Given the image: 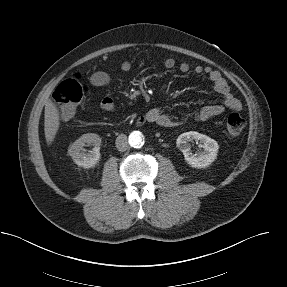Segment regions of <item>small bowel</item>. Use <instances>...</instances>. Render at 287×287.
<instances>
[{
	"label": "small bowel",
	"instance_id": "small-bowel-1",
	"mask_svg": "<svg viewBox=\"0 0 287 287\" xmlns=\"http://www.w3.org/2000/svg\"><path fill=\"white\" fill-rule=\"evenodd\" d=\"M163 66L166 69H173L176 66V61L171 57L165 58L163 60ZM131 68L132 65L129 61H124L120 65L122 72H129ZM178 69L182 73H187L191 70V66L187 62H181L178 65ZM193 71L198 75L206 76L212 82L215 91L222 97L221 104L205 105L196 111L194 114V119L196 121H206L215 118L223 114L226 110L237 111L241 109L242 105L240 100L232 94L226 79L218 70L208 66L203 67L197 65L193 68ZM89 81L95 87H105L110 83V75L105 71H95L90 75ZM100 107L104 112L110 113L115 110V103L112 98L105 97L102 99ZM145 117L148 122L155 123L162 127H173L182 122L180 119L163 111L160 107L151 109L146 113Z\"/></svg>",
	"mask_w": 287,
	"mask_h": 287
}]
</instances>
